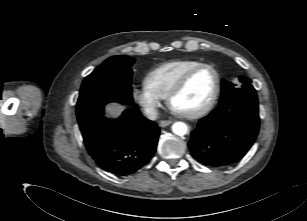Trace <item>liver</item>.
<instances>
[{
	"label": "liver",
	"instance_id": "liver-1",
	"mask_svg": "<svg viewBox=\"0 0 307 221\" xmlns=\"http://www.w3.org/2000/svg\"><path fill=\"white\" fill-rule=\"evenodd\" d=\"M106 109L110 113L109 117L115 118L122 113L125 107L118 103H110L106 106Z\"/></svg>",
	"mask_w": 307,
	"mask_h": 221
}]
</instances>
